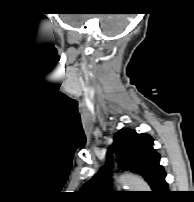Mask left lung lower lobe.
Instances as JSON below:
<instances>
[{"instance_id": "1", "label": "left lung lower lobe", "mask_w": 194, "mask_h": 202, "mask_svg": "<svg viewBox=\"0 0 194 202\" xmlns=\"http://www.w3.org/2000/svg\"><path fill=\"white\" fill-rule=\"evenodd\" d=\"M166 173L164 169H161L156 182L152 186V194L158 197L166 196L169 193L168 184L165 181Z\"/></svg>"}]
</instances>
